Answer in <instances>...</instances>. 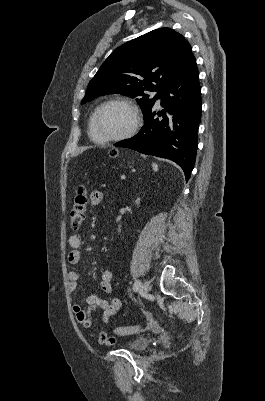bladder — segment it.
I'll use <instances>...</instances> for the list:
<instances>
[{
    "label": "bladder",
    "mask_w": 265,
    "mask_h": 401,
    "mask_svg": "<svg viewBox=\"0 0 265 401\" xmlns=\"http://www.w3.org/2000/svg\"><path fill=\"white\" fill-rule=\"evenodd\" d=\"M150 345V339L146 337H137L130 343H128V349L133 351L144 350Z\"/></svg>",
    "instance_id": "31cf9c89"
}]
</instances>
